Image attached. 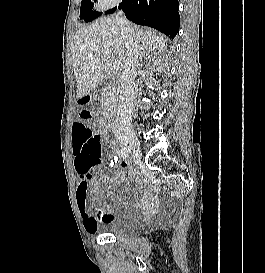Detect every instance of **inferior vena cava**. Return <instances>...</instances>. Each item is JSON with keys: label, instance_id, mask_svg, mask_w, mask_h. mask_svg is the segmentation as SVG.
Wrapping results in <instances>:
<instances>
[{"label": "inferior vena cava", "instance_id": "obj_1", "mask_svg": "<svg viewBox=\"0 0 265 273\" xmlns=\"http://www.w3.org/2000/svg\"><path fill=\"white\" fill-rule=\"evenodd\" d=\"M122 14V11H118L115 17L127 48V59L121 76L118 109L114 122L115 133L119 136L132 134L131 121L135 97V78L141 56L134 30L122 17Z\"/></svg>", "mask_w": 265, "mask_h": 273}]
</instances>
